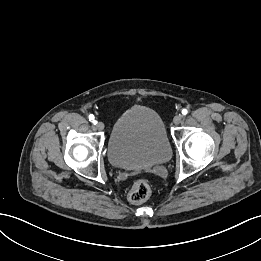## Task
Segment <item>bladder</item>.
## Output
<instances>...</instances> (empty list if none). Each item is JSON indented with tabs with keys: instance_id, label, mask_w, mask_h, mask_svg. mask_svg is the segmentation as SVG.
Instances as JSON below:
<instances>
[{
	"instance_id": "1",
	"label": "bladder",
	"mask_w": 261,
	"mask_h": 261,
	"mask_svg": "<svg viewBox=\"0 0 261 261\" xmlns=\"http://www.w3.org/2000/svg\"><path fill=\"white\" fill-rule=\"evenodd\" d=\"M171 143L160 115L145 106H133L114 122L107 144L110 163L138 169L167 162Z\"/></svg>"
}]
</instances>
